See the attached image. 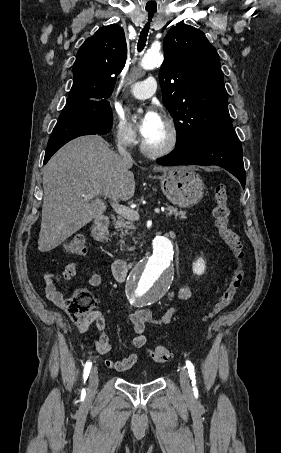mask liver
I'll return each mask as SVG.
<instances>
[{"label":"liver","instance_id":"obj_1","mask_svg":"<svg viewBox=\"0 0 281 453\" xmlns=\"http://www.w3.org/2000/svg\"><path fill=\"white\" fill-rule=\"evenodd\" d=\"M131 166L132 162H125L99 134L78 136L59 148L43 170L39 251L55 249L92 218L101 216L107 204L100 196L114 202L132 198L135 180ZM152 170L164 172L171 168L153 166ZM82 194L98 196L91 200Z\"/></svg>","mask_w":281,"mask_h":453}]
</instances>
